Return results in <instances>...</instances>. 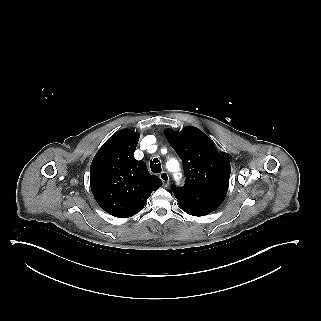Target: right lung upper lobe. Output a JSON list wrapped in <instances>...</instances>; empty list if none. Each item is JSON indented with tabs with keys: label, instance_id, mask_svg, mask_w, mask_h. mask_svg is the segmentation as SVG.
Masks as SVG:
<instances>
[{
	"label": "right lung upper lobe",
	"instance_id": "1",
	"mask_svg": "<svg viewBox=\"0 0 321 321\" xmlns=\"http://www.w3.org/2000/svg\"><path fill=\"white\" fill-rule=\"evenodd\" d=\"M140 135L122 129L99 149L90 166L91 190L97 203L112 216L130 217L146 204L162 181L134 158Z\"/></svg>",
	"mask_w": 321,
	"mask_h": 321
}]
</instances>
